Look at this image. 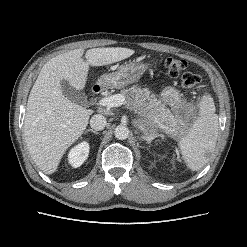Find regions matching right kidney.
Here are the masks:
<instances>
[{"label": "right kidney", "mask_w": 247, "mask_h": 247, "mask_svg": "<svg viewBox=\"0 0 247 247\" xmlns=\"http://www.w3.org/2000/svg\"><path fill=\"white\" fill-rule=\"evenodd\" d=\"M89 155V144L83 141L72 148L68 154V162L74 168L80 167Z\"/></svg>", "instance_id": "ca27d5eb"}]
</instances>
